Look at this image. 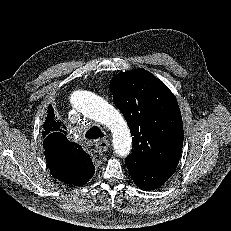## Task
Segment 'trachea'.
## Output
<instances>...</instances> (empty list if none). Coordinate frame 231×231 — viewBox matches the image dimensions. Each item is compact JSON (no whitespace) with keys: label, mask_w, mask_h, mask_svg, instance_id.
<instances>
[{"label":"trachea","mask_w":231,"mask_h":231,"mask_svg":"<svg viewBox=\"0 0 231 231\" xmlns=\"http://www.w3.org/2000/svg\"><path fill=\"white\" fill-rule=\"evenodd\" d=\"M85 136L89 139H98L104 136V133L97 126L91 127L85 134Z\"/></svg>","instance_id":"trachea-1"}]
</instances>
